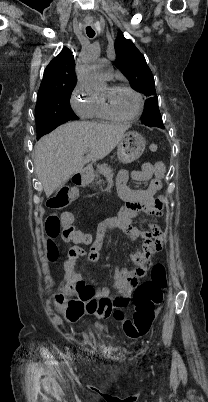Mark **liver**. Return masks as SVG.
<instances>
[{
    "instance_id": "liver-1",
    "label": "liver",
    "mask_w": 208,
    "mask_h": 402,
    "mask_svg": "<svg viewBox=\"0 0 208 402\" xmlns=\"http://www.w3.org/2000/svg\"><path fill=\"white\" fill-rule=\"evenodd\" d=\"M128 128L108 122H69L36 142L35 172L47 198L83 170L85 152L91 160H102L121 142Z\"/></svg>"
}]
</instances>
